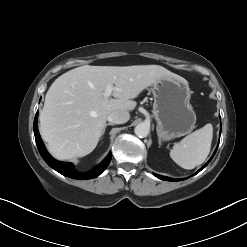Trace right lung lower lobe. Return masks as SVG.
<instances>
[{"label": "right lung lower lobe", "instance_id": "right-lung-lower-lobe-1", "mask_svg": "<svg viewBox=\"0 0 247 247\" xmlns=\"http://www.w3.org/2000/svg\"><path fill=\"white\" fill-rule=\"evenodd\" d=\"M37 115L38 112L36 113L35 119H34V135H35V140L37 144V148L39 150V153L41 154L42 158L45 160V162L54 170L57 172L61 173L64 176L74 178V179H79V180H86V179H92L97 176H99L109 165L112 154L109 153V155L106 157V159L95 169L89 171V172H76L74 170V166L71 163H65V162H59L52 158L49 153L47 152L37 129Z\"/></svg>", "mask_w": 247, "mask_h": 247}]
</instances>
